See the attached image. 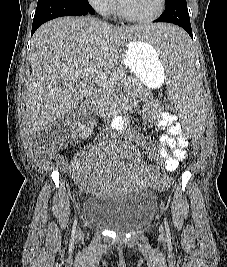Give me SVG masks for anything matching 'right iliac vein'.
Listing matches in <instances>:
<instances>
[{
	"mask_svg": "<svg viewBox=\"0 0 227 267\" xmlns=\"http://www.w3.org/2000/svg\"><path fill=\"white\" fill-rule=\"evenodd\" d=\"M83 236V231L79 228L77 231V237L81 238Z\"/></svg>",
	"mask_w": 227,
	"mask_h": 267,
	"instance_id": "63e3f726",
	"label": "right iliac vein"
}]
</instances>
